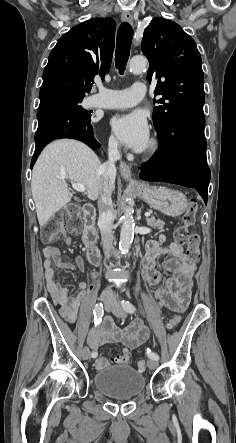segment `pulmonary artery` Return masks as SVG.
<instances>
[{
    "label": "pulmonary artery",
    "instance_id": "e3ab8cb5",
    "mask_svg": "<svg viewBox=\"0 0 236 443\" xmlns=\"http://www.w3.org/2000/svg\"><path fill=\"white\" fill-rule=\"evenodd\" d=\"M96 94L90 96L86 105L88 108L117 109L136 105L145 95L146 86L138 82L125 90H111L99 85ZM108 96V99H104Z\"/></svg>",
    "mask_w": 236,
    "mask_h": 443
}]
</instances>
